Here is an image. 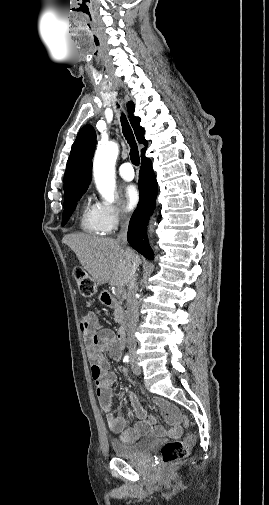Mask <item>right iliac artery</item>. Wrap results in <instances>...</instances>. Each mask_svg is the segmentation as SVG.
Masks as SVG:
<instances>
[{
	"label": "right iliac artery",
	"mask_w": 269,
	"mask_h": 505,
	"mask_svg": "<svg viewBox=\"0 0 269 505\" xmlns=\"http://www.w3.org/2000/svg\"><path fill=\"white\" fill-rule=\"evenodd\" d=\"M129 361H130V357H129V355L127 354V355H125V356H124V358H123V362L128 363Z\"/></svg>",
	"instance_id": "obj_1"
}]
</instances>
